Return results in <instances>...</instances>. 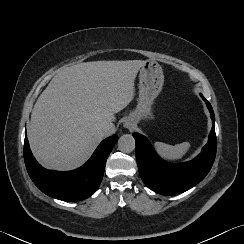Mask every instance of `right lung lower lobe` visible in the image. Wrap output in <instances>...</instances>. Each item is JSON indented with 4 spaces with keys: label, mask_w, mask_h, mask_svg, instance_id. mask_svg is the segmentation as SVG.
Returning <instances> with one entry per match:
<instances>
[{
    "label": "right lung lower lobe",
    "mask_w": 244,
    "mask_h": 244,
    "mask_svg": "<svg viewBox=\"0 0 244 244\" xmlns=\"http://www.w3.org/2000/svg\"><path fill=\"white\" fill-rule=\"evenodd\" d=\"M117 140V135L103 140L82 167L73 171L58 172L44 169L38 164L32 155L28 139L25 138V165L34 184L46 195L63 201L83 200L99 188L106 160Z\"/></svg>",
    "instance_id": "1"
}]
</instances>
